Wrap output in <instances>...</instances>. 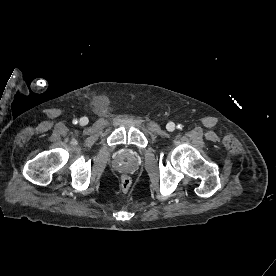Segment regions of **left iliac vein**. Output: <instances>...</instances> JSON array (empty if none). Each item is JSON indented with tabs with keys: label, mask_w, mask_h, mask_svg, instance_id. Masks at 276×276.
<instances>
[{
	"label": "left iliac vein",
	"mask_w": 276,
	"mask_h": 276,
	"mask_svg": "<svg viewBox=\"0 0 276 276\" xmlns=\"http://www.w3.org/2000/svg\"><path fill=\"white\" fill-rule=\"evenodd\" d=\"M166 127H167L168 131H174L175 130V124L173 122L168 123Z\"/></svg>",
	"instance_id": "left-iliac-vein-1"
}]
</instances>
